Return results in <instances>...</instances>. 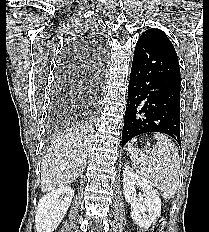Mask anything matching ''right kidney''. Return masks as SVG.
Masks as SVG:
<instances>
[{
  "instance_id": "obj_1",
  "label": "right kidney",
  "mask_w": 209,
  "mask_h": 232,
  "mask_svg": "<svg viewBox=\"0 0 209 232\" xmlns=\"http://www.w3.org/2000/svg\"><path fill=\"white\" fill-rule=\"evenodd\" d=\"M73 197L74 190L69 186L59 187L44 195L35 216L37 232H53L64 218Z\"/></svg>"
}]
</instances>
